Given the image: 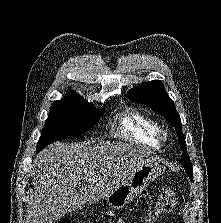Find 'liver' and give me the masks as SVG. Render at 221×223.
Returning a JSON list of instances; mask_svg holds the SVG:
<instances>
[{
  "label": "liver",
  "instance_id": "1",
  "mask_svg": "<svg viewBox=\"0 0 221 223\" xmlns=\"http://www.w3.org/2000/svg\"><path fill=\"white\" fill-rule=\"evenodd\" d=\"M151 161H156L152 152L128 143L50 145L33 162L31 223H53L105 198L137 165Z\"/></svg>",
  "mask_w": 221,
  "mask_h": 223
}]
</instances>
